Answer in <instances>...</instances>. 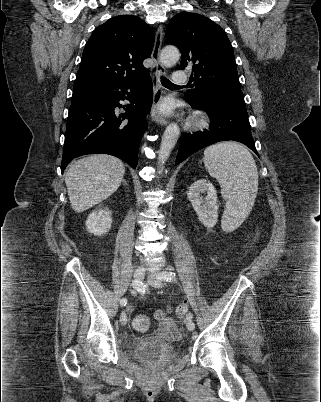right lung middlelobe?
<instances>
[{"instance_id": "obj_1", "label": "right lung middle lobe", "mask_w": 321, "mask_h": 402, "mask_svg": "<svg viewBox=\"0 0 321 402\" xmlns=\"http://www.w3.org/2000/svg\"><path fill=\"white\" fill-rule=\"evenodd\" d=\"M96 86H80V87H74V89H73V94H78V93H81V92H85V91H88V90H91V89H93V88H95Z\"/></svg>"}]
</instances>
